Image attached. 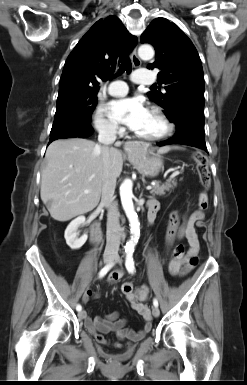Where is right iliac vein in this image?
<instances>
[{"label":"right iliac vein","mask_w":247,"mask_h":385,"mask_svg":"<svg viewBox=\"0 0 247 385\" xmlns=\"http://www.w3.org/2000/svg\"><path fill=\"white\" fill-rule=\"evenodd\" d=\"M104 262H105L106 264H110V263L112 262V258H111V257H107V258H105ZM78 317H79L80 319H84V318L86 317V312H85L84 310L80 311V312L78 313Z\"/></svg>","instance_id":"obj_1"}]
</instances>
